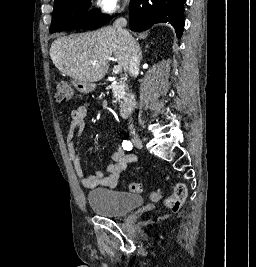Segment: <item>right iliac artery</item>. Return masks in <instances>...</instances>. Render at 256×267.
<instances>
[{
  "mask_svg": "<svg viewBox=\"0 0 256 267\" xmlns=\"http://www.w3.org/2000/svg\"><path fill=\"white\" fill-rule=\"evenodd\" d=\"M122 147L127 150L130 151L132 149V143L130 141L124 140L122 143Z\"/></svg>",
  "mask_w": 256,
  "mask_h": 267,
  "instance_id": "obj_1",
  "label": "right iliac artery"
}]
</instances>
